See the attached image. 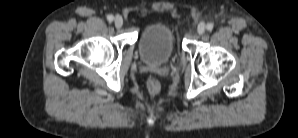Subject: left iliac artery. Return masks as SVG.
<instances>
[{
	"instance_id": "44dca946",
	"label": "left iliac artery",
	"mask_w": 298,
	"mask_h": 138,
	"mask_svg": "<svg viewBox=\"0 0 298 138\" xmlns=\"http://www.w3.org/2000/svg\"><path fill=\"white\" fill-rule=\"evenodd\" d=\"M213 24L212 23H208L207 25H206V29L208 30V31H211L212 29H213Z\"/></svg>"
}]
</instances>
